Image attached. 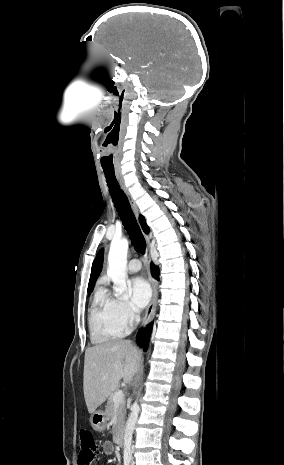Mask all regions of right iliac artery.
<instances>
[{"instance_id":"1","label":"right iliac artery","mask_w":284,"mask_h":465,"mask_svg":"<svg viewBox=\"0 0 284 465\" xmlns=\"http://www.w3.org/2000/svg\"><path fill=\"white\" fill-rule=\"evenodd\" d=\"M130 464V459H125L124 460V465H129Z\"/></svg>"}]
</instances>
